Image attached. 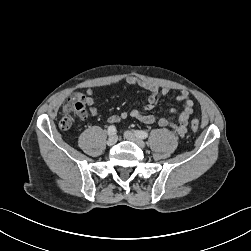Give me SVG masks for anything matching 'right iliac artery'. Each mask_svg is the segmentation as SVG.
<instances>
[{"mask_svg": "<svg viewBox=\"0 0 251 251\" xmlns=\"http://www.w3.org/2000/svg\"><path fill=\"white\" fill-rule=\"evenodd\" d=\"M116 133V127L114 125H111L108 127V135H114Z\"/></svg>", "mask_w": 251, "mask_h": 251, "instance_id": "obj_1", "label": "right iliac artery"}]
</instances>
